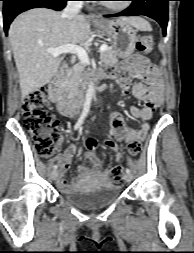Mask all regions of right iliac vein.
Masks as SVG:
<instances>
[{
	"instance_id": "obj_1",
	"label": "right iliac vein",
	"mask_w": 194,
	"mask_h": 253,
	"mask_svg": "<svg viewBox=\"0 0 194 253\" xmlns=\"http://www.w3.org/2000/svg\"><path fill=\"white\" fill-rule=\"evenodd\" d=\"M57 176H58V172H57V171H53V172L51 173V179H52V180H56V179H57Z\"/></svg>"
}]
</instances>
